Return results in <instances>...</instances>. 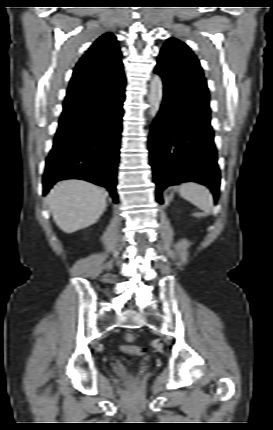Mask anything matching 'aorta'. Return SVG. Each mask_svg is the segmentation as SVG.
<instances>
[{
  "instance_id": "1",
  "label": "aorta",
  "mask_w": 273,
  "mask_h": 430,
  "mask_svg": "<svg viewBox=\"0 0 273 430\" xmlns=\"http://www.w3.org/2000/svg\"><path fill=\"white\" fill-rule=\"evenodd\" d=\"M163 96V85L162 80L158 75H154L151 83L148 95V102L150 106L149 115L153 118L159 111V107Z\"/></svg>"
}]
</instances>
